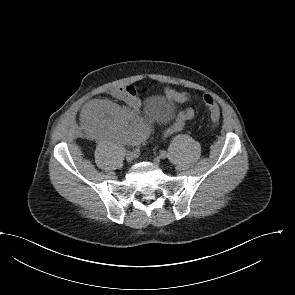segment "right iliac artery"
Masks as SVG:
<instances>
[{
  "label": "right iliac artery",
  "mask_w": 295,
  "mask_h": 295,
  "mask_svg": "<svg viewBox=\"0 0 295 295\" xmlns=\"http://www.w3.org/2000/svg\"><path fill=\"white\" fill-rule=\"evenodd\" d=\"M141 153V150L139 148H134L133 149V154L134 155H139Z\"/></svg>",
  "instance_id": "obj_1"
}]
</instances>
